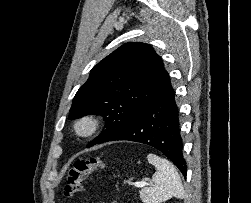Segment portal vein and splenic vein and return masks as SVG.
<instances>
[{"label":"portal vein and splenic vein","instance_id":"1","mask_svg":"<svg viewBox=\"0 0 251 203\" xmlns=\"http://www.w3.org/2000/svg\"><path fill=\"white\" fill-rule=\"evenodd\" d=\"M133 185L138 188H143L146 186H150L151 184L148 182L142 181V182H134Z\"/></svg>","mask_w":251,"mask_h":203}]
</instances>
